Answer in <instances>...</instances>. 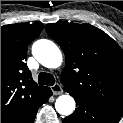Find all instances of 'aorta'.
I'll return each mask as SVG.
<instances>
[{"label": "aorta", "instance_id": "obj_1", "mask_svg": "<svg viewBox=\"0 0 123 123\" xmlns=\"http://www.w3.org/2000/svg\"><path fill=\"white\" fill-rule=\"evenodd\" d=\"M34 57L47 68H57L62 63V54L58 46L46 39L34 42L32 46ZM56 111L64 116H69L75 110V100L68 94L61 95L55 102Z\"/></svg>", "mask_w": 123, "mask_h": 123}]
</instances>
